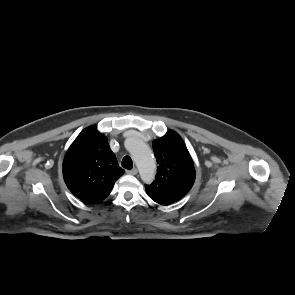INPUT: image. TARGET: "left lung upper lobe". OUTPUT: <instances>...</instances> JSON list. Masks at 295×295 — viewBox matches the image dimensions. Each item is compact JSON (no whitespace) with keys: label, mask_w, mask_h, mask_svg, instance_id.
Listing matches in <instances>:
<instances>
[{"label":"left lung upper lobe","mask_w":295,"mask_h":295,"mask_svg":"<svg viewBox=\"0 0 295 295\" xmlns=\"http://www.w3.org/2000/svg\"><path fill=\"white\" fill-rule=\"evenodd\" d=\"M158 168L155 180L145 185L147 195L167 203L182 199L195 181L193 160L182 138L173 130L153 141Z\"/></svg>","instance_id":"left-lung-upper-lobe-1"}]
</instances>
